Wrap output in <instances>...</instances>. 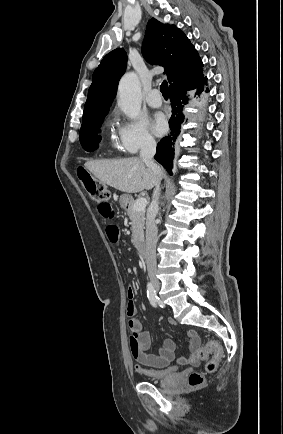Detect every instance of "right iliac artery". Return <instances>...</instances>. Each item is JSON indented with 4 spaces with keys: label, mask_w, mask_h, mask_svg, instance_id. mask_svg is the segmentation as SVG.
Masks as SVG:
<instances>
[{
    "label": "right iliac artery",
    "mask_w": 283,
    "mask_h": 434,
    "mask_svg": "<svg viewBox=\"0 0 283 434\" xmlns=\"http://www.w3.org/2000/svg\"><path fill=\"white\" fill-rule=\"evenodd\" d=\"M147 296H148V299L150 301V304L153 307H157V305L159 303V298L156 295V291H155V289L151 283L147 284Z\"/></svg>",
    "instance_id": "1"
}]
</instances>
